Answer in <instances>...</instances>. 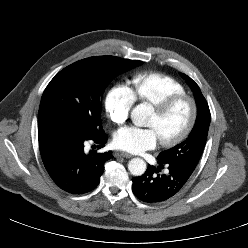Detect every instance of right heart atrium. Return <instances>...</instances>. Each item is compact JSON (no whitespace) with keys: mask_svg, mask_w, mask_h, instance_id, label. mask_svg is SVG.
Here are the masks:
<instances>
[{"mask_svg":"<svg viewBox=\"0 0 248 248\" xmlns=\"http://www.w3.org/2000/svg\"><path fill=\"white\" fill-rule=\"evenodd\" d=\"M133 104L134 100L128 88L121 84L112 86L104 98L105 109L115 124H123L127 120Z\"/></svg>","mask_w":248,"mask_h":248,"instance_id":"d8ad5b80","label":"right heart atrium"}]
</instances>
